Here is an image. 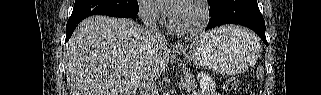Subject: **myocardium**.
Segmentation results:
<instances>
[{"label": "myocardium", "mask_w": 321, "mask_h": 95, "mask_svg": "<svg viewBox=\"0 0 321 95\" xmlns=\"http://www.w3.org/2000/svg\"><path fill=\"white\" fill-rule=\"evenodd\" d=\"M185 4H193L196 7H198L199 12H200V21L199 23L188 29H180L177 28L171 19V17L168 19L167 22V27L168 29L178 35L182 36H190V35H195L198 34L203 30V28L208 24L209 19H210V10L207 2L205 0H184L180 3L179 6L185 5Z\"/></svg>", "instance_id": "obj_1"}]
</instances>
